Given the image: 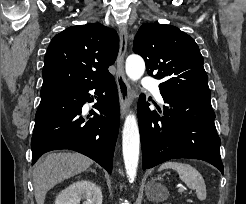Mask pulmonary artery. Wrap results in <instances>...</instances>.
Instances as JSON below:
<instances>
[{
    "label": "pulmonary artery",
    "mask_w": 246,
    "mask_h": 204,
    "mask_svg": "<svg viewBox=\"0 0 246 204\" xmlns=\"http://www.w3.org/2000/svg\"><path fill=\"white\" fill-rule=\"evenodd\" d=\"M142 86H143V88L151 91L159 102H161V103L163 102V98H162V95L160 93L158 83L156 80H154L150 77H145L142 80Z\"/></svg>",
    "instance_id": "1"
}]
</instances>
